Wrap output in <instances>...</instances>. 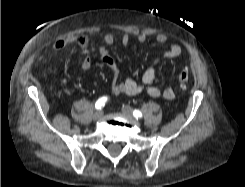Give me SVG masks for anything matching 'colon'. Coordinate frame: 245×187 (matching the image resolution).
Returning a JSON list of instances; mask_svg holds the SVG:
<instances>
[{"label":"colon","mask_w":245,"mask_h":187,"mask_svg":"<svg viewBox=\"0 0 245 187\" xmlns=\"http://www.w3.org/2000/svg\"><path fill=\"white\" fill-rule=\"evenodd\" d=\"M190 73L187 68H182L178 74V81L182 88H185L189 81Z\"/></svg>","instance_id":"1"}]
</instances>
